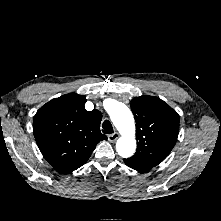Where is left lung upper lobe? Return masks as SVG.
I'll list each match as a JSON object with an SVG mask.
<instances>
[{"mask_svg":"<svg viewBox=\"0 0 221 221\" xmlns=\"http://www.w3.org/2000/svg\"><path fill=\"white\" fill-rule=\"evenodd\" d=\"M131 109L136 120L137 151L127 160L152 168L173 149L179 115L160 98L147 95L132 99Z\"/></svg>","mask_w":221,"mask_h":221,"instance_id":"obj_1","label":"left lung upper lobe"}]
</instances>
